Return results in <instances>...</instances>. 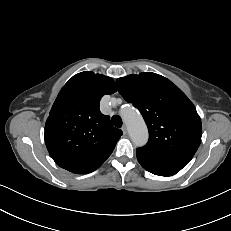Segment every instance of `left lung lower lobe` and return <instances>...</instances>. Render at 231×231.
<instances>
[{
	"label": "left lung lower lobe",
	"mask_w": 231,
	"mask_h": 231,
	"mask_svg": "<svg viewBox=\"0 0 231 231\" xmlns=\"http://www.w3.org/2000/svg\"><path fill=\"white\" fill-rule=\"evenodd\" d=\"M137 159L144 169H146L147 171H149L150 173H153L155 175L171 176V175H174L181 170V169H177V168L158 165V164L149 162L147 160H144L140 157H137Z\"/></svg>",
	"instance_id": "1"
}]
</instances>
